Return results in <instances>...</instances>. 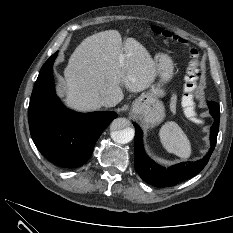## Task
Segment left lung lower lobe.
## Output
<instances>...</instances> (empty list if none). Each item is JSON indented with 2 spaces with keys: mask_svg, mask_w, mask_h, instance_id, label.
Returning a JSON list of instances; mask_svg holds the SVG:
<instances>
[{
  "mask_svg": "<svg viewBox=\"0 0 233 233\" xmlns=\"http://www.w3.org/2000/svg\"><path fill=\"white\" fill-rule=\"evenodd\" d=\"M208 106L210 114L214 118V123L210 130L212 145L206 157L202 161L194 163L182 162L167 169L156 164L144 153L140 129L136 123H133L136 129L134 141L135 168L144 181L156 187L173 186L182 180L195 176L205 167L216 145L220 119L219 105L216 102L209 101Z\"/></svg>",
  "mask_w": 233,
  "mask_h": 233,
  "instance_id": "1",
  "label": "left lung lower lobe"
}]
</instances>
